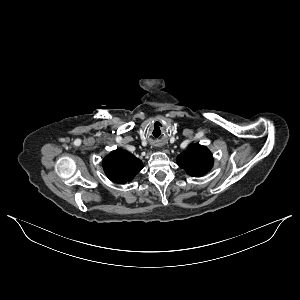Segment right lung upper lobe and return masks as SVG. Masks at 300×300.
Returning <instances> with one entry per match:
<instances>
[{
  "label": "right lung upper lobe",
  "instance_id": "1",
  "mask_svg": "<svg viewBox=\"0 0 300 300\" xmlns=\"http://www.w3.org/2000/svg\"><path fill=\"white\" fill-rule=\"evenodd\" d=\"M142 168L141 160L124 150L112 151L103 160L105 174L118 184L131 181Z\"/></svg>",
  "mask_w": 300,
  "mask_h": 300
}]
</instances>
